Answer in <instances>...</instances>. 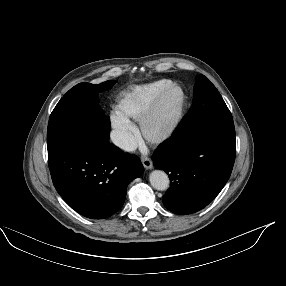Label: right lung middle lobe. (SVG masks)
I'll return each instance as SVG.
<instances>
[{
  "instance_id": "obj_1",
  "label": "right lung middle lobe",
  "mask_w": 286,
  "mask_h": 286,
  "mask_svg": "<svg viewBox=\"0 0 286 286\" xmlns=\"http://www.w3.org/2000/svg\"><path fill=\"white\" fill-rule=\"evenodd\" d=\"M115 82L80 83L60 99L49 118L48 150L76 136H88L101 144H109L110 120L97 107V93L110 89Z\"/></svg>"
}]
</instances>
